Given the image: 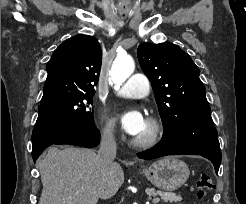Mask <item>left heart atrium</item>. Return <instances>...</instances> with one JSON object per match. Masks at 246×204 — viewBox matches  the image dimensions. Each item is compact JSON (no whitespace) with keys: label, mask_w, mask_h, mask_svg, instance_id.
I'll return each mask as SVG.
<instances>
[{"label":"left heart atrium","mask_w":246,"mask_h":204,"mask_svg":"<svg viewBox=\"0 0 246 204\" xmlns=\"http://www.w3.org/2000/svg\"><path fill=\"white\" fill-rule=\"evenodd\" d=\"M122 129L131 136H137L143 129L146 120L138 109H126L119 114Z\"/></svg>","instance_id":"1"}]
</instances>
